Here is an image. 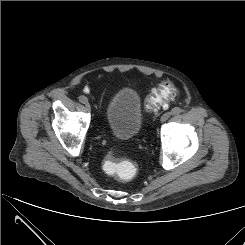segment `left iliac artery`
Wrapping results in <instances>:
<instances>
[{"label":"left iliac artery","mask_w":245,"mask_h":245,"mask_svg":"<svg viewBox=\"0 0 245 245\" xmlns=\"http://www.w3.org/2000/svg\"><path fill=\"white\" fill-rule=\"evenodd\" d=\"M182 112V109L180 107H174L172 110H171V114L173 115H178Z\"/></svg>","instance_id":"left-iliac-artery-1"}]
</instances>
